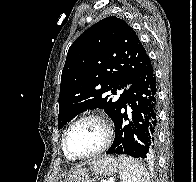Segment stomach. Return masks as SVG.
I'll return each instance as SVG.
<instances>
[{"label":"stomach","mask_w":196,"mask_h":182,"mask_svg":"<svg viewBox=\"0 0 196 182\" xmlns=\"http://www.w3.org/2000/svg\"><path fill=\"white\" fill-rule=\"evenodd\" d=\"M88 165V168L81 167L65 175L60 182H92L91 174L96 176L114 175L119 169L117 160L112 156H100Z\"/></svg>","instance_id":"stomach-1"}]
</instances>
